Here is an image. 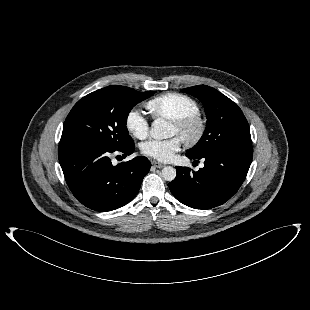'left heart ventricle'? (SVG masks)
Wrapping results in <instances>:
<instances>
[{
    "mask_svg": "<svg viewBox=\"0 0 310 310\" xmlns=\"http://www.w3.org/2000/svg\"><path fill=\"white\" fill-rule=\"evenodd\" d=\"M171 135H179V131L175 125H171V130H170Z\"/></svg>",
    "mask_w": 310,
    "mask_h": 310,
    "instance_id": "left-heart-ventricle-1",
    "label": "left heart ventricle"
}]
</instances>
